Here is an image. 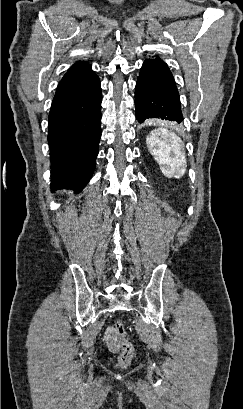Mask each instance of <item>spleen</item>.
Segmentation results:
<instances>
[{
  "instance_id": "3e777b00",
  "label": "spleen",
  "mask_w": 243,
  "mask_h": 409,
  "mask_svg": "<svg viewBox=\"0 0 243 409\" xmlns=\"http://www.w3.org/2000/svg\"><path fill=\"white\" fill-rule=\"evenodd\" d=\"M150 153L168 178H181L186 171V159L180 137L168 129L157 128L146 139Z\"/></svg>"
}]
</instances>
